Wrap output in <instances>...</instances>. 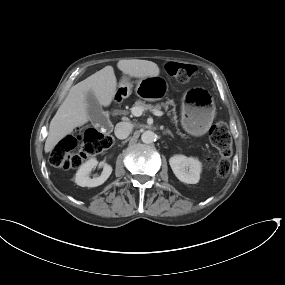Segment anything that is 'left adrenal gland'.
<instances>
[{
  "label": "left adrenal gland",
  "instance_id": "a2214340",
  "mask_svg": "<svg viewBox=\"0 0 285 285\" xmlns=\"http://www.w3.org/2000/svg\"><path fill=\"white\" fill-rule=\"evenodd\" d=\"M163 134H168V135H170V136L173 137V134H172L171 131H169V130L163 131Z\"/></svg>",
  "mask_w": 285,
  "mask_h": 285
}]
</instances>
